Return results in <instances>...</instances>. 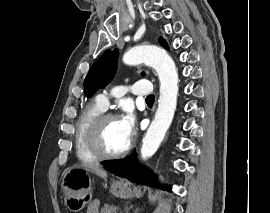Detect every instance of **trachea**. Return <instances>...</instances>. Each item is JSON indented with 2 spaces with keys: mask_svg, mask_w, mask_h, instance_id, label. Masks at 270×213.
I'll return each instance as SVG.
<instances>
[{
  "mask_svg": "<svg viewBox=\"0 0 270 213\" xmlns=\"http://www.w3.org/2000/svg\"><path fill=\"white\" fill-rule=\"evenodd\" d=\"M154 100L155 96L153 94L146 97V102H154Z\"/></svg>",
  "mask_w": 270,
  "mask_h": 213,
  "instance_id": "1",
  "label": "trachea"
}]
</instances>
